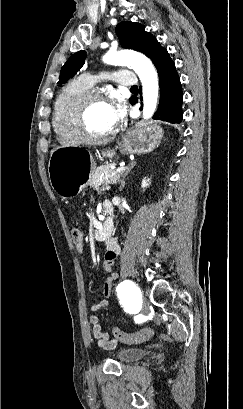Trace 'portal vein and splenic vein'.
I'll return each instance as SVG.
<instances>
[{
    "instance_id": "obj_1",
    "label": "portal vein and splenic vein",
    "mask_w": 243,
    "mask_h": 409,
    "mask_svg": "<svg viewBox=\"0 0 243 409\" xmlns=\"http://www.w3.org/2000/svg\"><path fill=\"white\" fill-rule=\"evenodd\" d=\"M125 169H126L125 166L119 167V168L116 169L115 174H120V173H122ZM109 183H111V181L105 182L106 185L109 184Z\"/></svg>"
}]
</instances>
